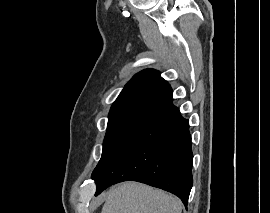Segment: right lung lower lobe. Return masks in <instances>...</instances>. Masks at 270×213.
Listing matches in <instances>:
<instances>
[{
    "instance_id": "obj_1",
    "label": "right lung lower lobe",
    "mask_w": 270,
    "mask_h": 213,
    "mask_svg": "<svg viewBox=\"0 0 270 213\" xmlns=\"http://www.w3.org/2000/svg\"><path fill=\"white\" fill-rule=\"evenodd\" d=\"M192 164L189 121L169 100L146 116L93 178L96 195L112 184L133 180L171 192L186 206L193 185Z\"/></svg>"
}]
</instances>
